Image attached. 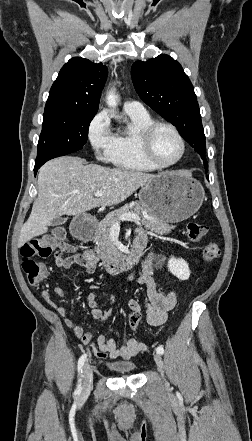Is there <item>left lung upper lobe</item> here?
<instances>
[{"mask_svg": "<svg viewBox=\"0 0 252 441\" xmlns=\"http://www.w3.org/2000/svg\"><path fill=\"white\" fill-rule=\"evenodd\" d=\"M134 87L140 98L175 125L181 136L198 152L207 168L205 135L197 97L181 65L166 54L131 68Z\"/></svg>", "mask_w": 252, "mask_h": 441, "instance_id": "left-lung-upper-lobe-1", "label": "left lung upper lobe"}]
</instances>
